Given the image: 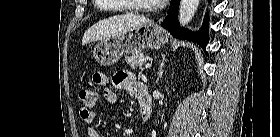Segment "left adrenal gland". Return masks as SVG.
Returning a JSON list of instances; mask_svg holds the SVG:
<instances>
[{"label": "left adrenal gland", "mask_w": 280, "mask_h": 137, "mask_svg": "<svg viewBox=\"0 0 280 137\" xmlns=\"http://www.w3.org/2000/svg\"><path fill=\"white\" fill-rule=\"evenodd\" d=\"M164 61H165V56H162V60H161V64L160 67L158 69L157 72V79H156V83L159 81L160 77L162 76L163 72H164Z\"/></svg>", "instance_id": "1"}]
</instances>
